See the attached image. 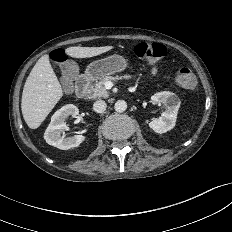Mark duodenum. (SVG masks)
Segmentation results:
<instances>
[{"label":"duodenum","instance_id":"duodenum-1","mask_svg":"<svg viewBox=\"0 0 232 232\" xmlns=\"http://www.w3.org/2000/svg\"><path fill=\"white\" fill-rule=\"evenodd\" d=\"M89 84V77L87 75H80L75 82L76 94L78 97L83 98L86 95L87 87Z\"/></svg>","mask_w":232,"mask_h":232}]
</instances>
